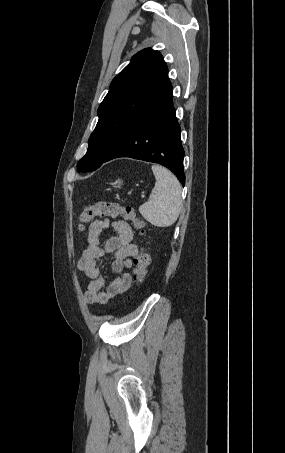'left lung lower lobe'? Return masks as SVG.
Returning <instances> with one entry per match:
<instances>
[{
    "instance_id": "0a47b994",
    "label": "left lung lower lobe",
    "mask_w": 285,
    "mask_h": 453,
    "mask_svg": "<svg viewBox=\"0 0 285 453\" xmlns=\"http://www.w3.org/2000/svg\"><path fill=\"white\" fill-rule=\"evenodd\" d=\"M172 93L173 88L167 78L162 88L130 124L104 162L119 157H131L158 163L170 169L184 186V149Z\"/></svg>"
}]
</instances>
